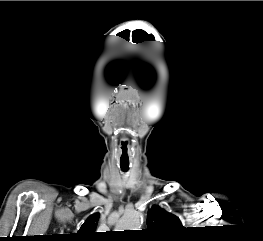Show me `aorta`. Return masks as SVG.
Segmentation results:
<instances>
[{
    "label": "aorta",
    "mask_w": 263,
    "mask_h": 241,
    "mask_svg": "<svg viewBox=\"0 0 263 241\" xmlns=\"http://www.w3.org/2000/svg\"><path fill=\"white\" fill-rule=\"evenodd\" d=\"M143 222V215L139 211H132L121 218L118 228L123 230H138Z\"/></svg>",
    "instance_id": "762f6f07"
}]
</instances>
